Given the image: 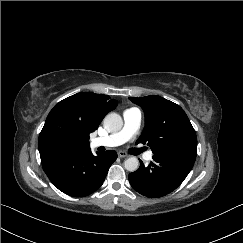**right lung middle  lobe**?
I'll use <instances>...</instances> for the list:
<instances>
[{
	"label": "right lung middle lobe",
	"instance_id": "right-lung-middle-lobe-1",
	"mask_svg": "<svg viewBox=\"0 0 243 243\" xmlns=\"http://www.w3.org/2000/svg\"><path fill=\"white\" fill-rule=\"evenodd\" d=\"M85 140L83 131L64 115L49 114L38 140L41 161L77 154Z\"/></svg>",
	"mask_w": 243,
	"mask_h": 243
}]
</instances>
